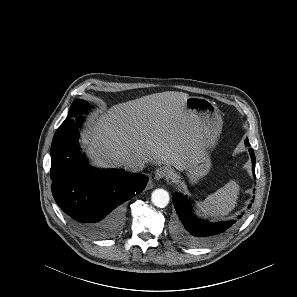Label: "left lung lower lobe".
Here are the masks:
<instances>
[{"label":"left lung lower lobe","instance_id":"obj_1","mask_svg":"<svg viewBox=\"0 0 297 297\" xmlns=\"http://www.w3.org/2000/svg\"><path fill=\"white\" fill-rule=\"evenodd\" d=\"M249 152L255 176V154L252 149H249ZM172 200L179 217V221L173 229V236L176 241L183 245L194 247L211 244L230 231L236 223V220L210 223L196 218L191 212L192 208L189 200L183 194L175 193ZM241 217L242 215L238 216V219Z\"/></svg>","mask_w":297,"mask_h":297}]
</instances>
